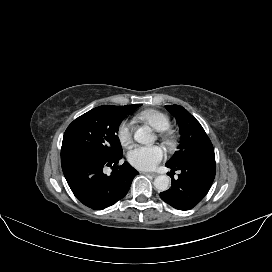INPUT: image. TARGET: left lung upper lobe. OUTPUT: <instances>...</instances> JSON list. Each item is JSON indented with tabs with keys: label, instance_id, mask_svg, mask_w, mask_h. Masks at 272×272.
Returning a JSON list of instances; mask_svg holds the SVG:
<instances>
[{
	"label": "left lung upper lobe",
	"instance_id": "1",
	"mask_svg": "<svg viewBox=\"0 0 272 272\" xmlns=\"http://www.w3.org/2000/svg\"><path fill=\"white\" fill-rule=\"evenodd\" d=\"M166 108L176 117L181 134L178 150L166 166L175 167L190 158L213 152V145L204 129L186 109L179 105H166Z\"/></svg>",
	"mask_w": 272,
	"mask_h": 272
}]
</instances>
